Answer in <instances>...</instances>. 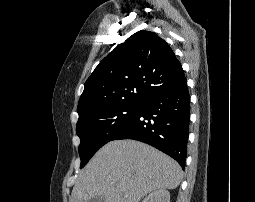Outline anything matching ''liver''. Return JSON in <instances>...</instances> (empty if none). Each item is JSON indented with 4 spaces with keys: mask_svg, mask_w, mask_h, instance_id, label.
I'll use <instances>...</instances> for the list:
<instances>
[{
    "mask_svg": "<svg viewBox=\"0 0 255 202\" xmlns=\"http://www.w3.org/2000/svg\"><path fill=\"white\" fill-rule=\"evenodd\" d=\"M182 180L179 164L145 143L115 140L86 165L72 190L71 202L96 196L105 202H139L157 189H175Z\"/></svg>",
    "mask_w": 255,
    "mask_h": 202,
    "instance_id": "obj_1",
    "label": "liver"
}]
</instances>
